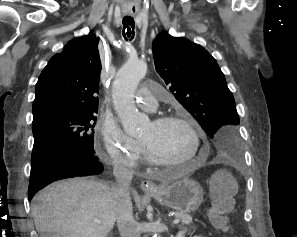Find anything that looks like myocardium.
Returning a JSON list of instances; mask_svg holds the SVG:
<instances>
[{
	"label": "myocardium",
	"mask_w": 297,
	"mask_h": 237,
	"mask_svg": "<svg viewBox=\"0 0 297 237\" xmlns=\"http://www.w3.org/2000/svg\"><path fill=\"white\" fill-rule=\"evenodd\" d=\"M153 122L154 123L178 122V123H182L183 125H185L193 137L194 152L190 156H188L182 160H178V161L166 160L164 158H161L157 154H155L145 143L140 141L142 148L144 150L145 156L151 164H153L155 166H176V165L186 164V163L198 158L200 149H201V145H202L201 135H200L196 125L193 123V121L190 118H188L184 115H179V114H168V115H161V116L154 118Z\"/></svg>",
	"instance_id": "f54148a6"
}]
</instances>
